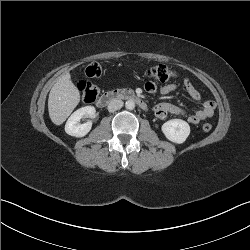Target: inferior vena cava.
I'll return each mask as SVG.
<instances>
[{"label":"inferior vena cava","mask_w":250,"mask_h":250,"mask_svg":"<svg viewBox=\"0 0 250 250\" xmlns=\"http://www.w3.org/2000/svg\"><path fill=\"white\" fill-rule=\"evenodd\" d=\"M123 101L119 99H113L109 102L108 104V111L109 112H114L116 110H119L123 107Z\"/></svg>","instance_id":"obj_1"}]
</instances>
